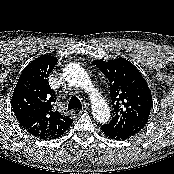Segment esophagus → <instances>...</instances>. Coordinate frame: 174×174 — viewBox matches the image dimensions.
<instances>
[{
    "label": "esophagus",
    "mask_w": 174,
    "mask_h": 174,
    "mask_svg": "<svg viewBox=\"0 0 174 174\" xmlns=\"http://www.w3.org/2000/svg\"><path fill=\"white\" fill-rule=\"evenodd\" d=\"M89 108L88 104H85L84 107L80 110V112H84Z\"/></svg>",
    "instance_id": "1"
}]
</instances>
